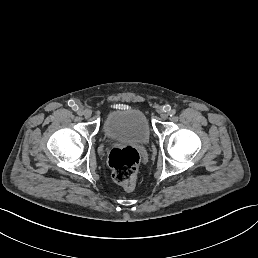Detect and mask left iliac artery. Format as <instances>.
I'll use <instances>...</instances> for the list:
<instances>
[{
  "label": "left iliac artery",
  "instance_id": "1",
  "mask_svg": "<svg viewBox=\"0 0 258 258\" xmlns=\"http://www.w3.org/2000/svg\"><path fill=\"white\" fill-rule=\"evenodd\" d=\"M176 114V110L175 109H172L170 112H169V115L170 116H174Z\"/></svg>",
  "mask_w": 258,
  "mask_h": 258
}]
</instances>
